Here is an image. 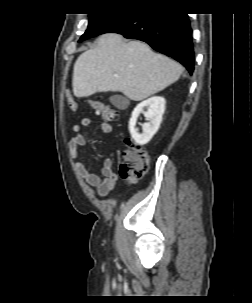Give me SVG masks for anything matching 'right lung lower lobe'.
Segmentation results:
<instances>
[{
  "label": "right lung lower lobe",
  "mask_w": 252,
  "mask_h": 303,
  "mask_svg": "<svg viewBox=\"0 0 252 303\" xmlns=\"http://www.w3.org/2000/svg\"><path fill=\"white\" fill-rule=\"evenodd\" d=\"M114 32L148 43L153 49L183 64L192 74L194 51L188 15L148 7L131 9L108 25L101 34Z\"/></svg>",
  "instance_id": "right-lung-lower-lobe-1"
}]
</instances>
